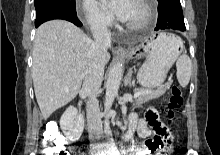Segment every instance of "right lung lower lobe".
<instances>
[{"instance_id": "98d812e1", "label": "right lung lower lobe", "mask_w": 220, "mask_h": 155, "mask_svg": "<svg viewBox=\"0 0 220 155\" xmlns=\"http://www.w3.org/2000/svg\"><path fill=\"white\" fill-rule=\"evenodd\" d=\"M53 19H63L74 23L78 27L82 26V23L77 18L76 13H71L63 10H55L36 17L35 27H38L42 23Z\"/></svg>"}]
</instances>
